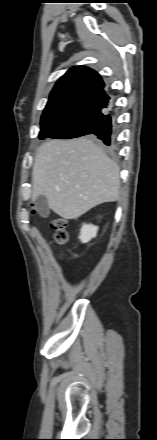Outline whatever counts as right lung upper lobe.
I'll list each match as a JSON object with an SVG mask.
<instances>
[{"label": "right lung upper lobe", "mask_w": 157, "mask_h": 440, "mask_svg": "<svg viewBox=\"0 0 157 440\" xmlns=\"http://www.w3.org/2000/svg\"><path fill=\"white\" fill-rule=\"evenodd\" d=\"M104 82L92 69L75 66L55 84L41 122L78 120L88 127L109 109Z\"/></svg>", "instance_id": "1"}]
</instances>
